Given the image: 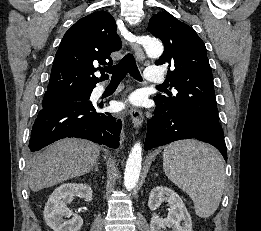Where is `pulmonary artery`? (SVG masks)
<instances>
[{
	"label": "pulmonary artery",
	"mask_w": 261,
	"mask_h": 231,
	"mask_svg": "<svg viewBox=\"0 0 261 231\" xmlns=\"http://www.w3.org/2000/svg\"><path fill=\"white\" fill-rule=\"evenodd\" d=\"M145 78L151 83H162L163 75L160 67L150 66L145 69Z\"/></svg>",
	"instance_id": "obj_1"
}]
</instances>
